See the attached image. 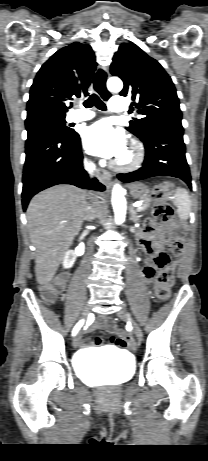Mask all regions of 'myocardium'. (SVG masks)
I'll return each instance as SVG.
<instances>
[{"mask_svg":"<svg viewBox=\"0 0 208 461\" xmlns=\"http://www.w3.org/2000/svg\"><path fill=\"white\" fill-rule=\"evenodd\" d=\"M129 152L127 160H115L113 167L122 172L133 171L140 167L144 159L143 146L136 140H131L126 148Z\"/></svg>","mask_w":208,"mask_h":461,"instance_id":"f54148a6","label":"myocardium"}]
</instances>
